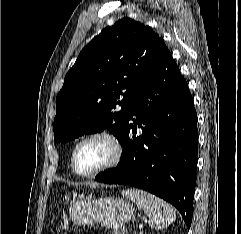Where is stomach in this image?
I'll list each match as a JSON object with an SVG mask.
<instances>
[{
	"label": "stomach",
	"mask_w": 241,
	"mask_h": 234,
	"mask_svg": "<svg viewBox=\"0 0 241 234\" xmlns=\"http://www.w3.org/2000/svg\"><path fill=\"white\" fill-rule=\"evenodd\" d=\"M70 216L77 225L100 223L109 228L121 229L133 218L134 208L120 198H80L70 207Z\"/></svg>",
	"instance_id": "stomach-1"
}]
</instances>
